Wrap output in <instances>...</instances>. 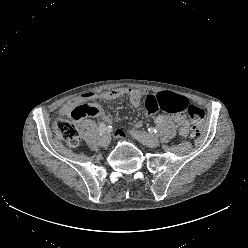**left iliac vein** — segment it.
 <instances>
[{
	"label": "left iliac vein",
	"mask_w": 248,
	"mask_h": 248,
	"mask_svg": "<svg viewBox=\"0 0 248 248\" xmlns=\"http://www.w3.org/2000/svg\"><path fill=\"white\" fill-rule=\"evenodd\" d=\"M134 137L136 139H138L139 141H141L144 145L154 148L159 146L160 142L159 139L151 134H147L145 132L142 131H136L133 133Z\"/></svg>",
	"instance_id": "1"
}]
</instances>
